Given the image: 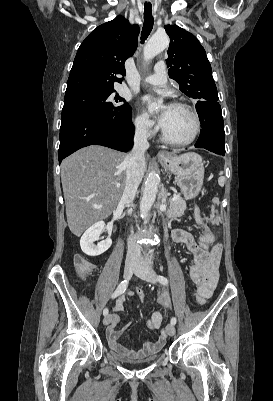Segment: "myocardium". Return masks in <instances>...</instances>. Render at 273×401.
<instances>
[{"instance_id": "1", "label": "myocardium", "mask_w": 273, "mask_h": 401, "mask_svg": "<svg viewBox=\"0 0 273 401\" xmlns=\"http://www.w3.org/2000/svg\"><path fill=\"white\" fill-rule=\"evenodd\" d=\"M171 107H177V108L183 109L188 114H190L195 122V131L190 138L185 139V140H180V139H175V138H172L171 136H169L165 132L163 127H161V135H162L163 141L168 144L178 145V146H184V145L193 143L199 137L201 130H202V121H201L199 114L190 105H187L185 103L175 102L171 105Z\"/></svg>"}]
</instances>
